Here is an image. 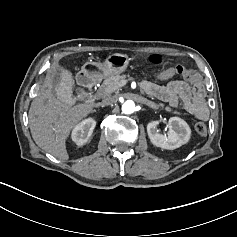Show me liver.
<instances>
[{"instance_id": "obj_1", "label": "liver", "mask_w": 237, "mask_h": 237, "mask_svg": "<svg viewBox=\"0 0 237 237\" xmlns=\"http://www.w3.org/2000/svg\"><path fill=\"white\" fill-rule=\"evenodd\" d=\"M59 70L60 62H54L53 72L58 73ZM46 79L49 80V77ZM94 107V103L74 107L64 105L49 92L38 95L29 109V126L34 142L43 151L67 161L66 140L74 127L93 112Z\"/></svg>"}]
</instances>
